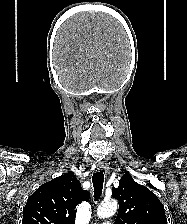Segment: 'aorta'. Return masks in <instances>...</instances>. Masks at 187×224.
<instances>
[{"label": "aorta", "instance_id": "1", "mask_svg": "<svg viewBox=\"0 0 187 224\" xmlns=\"http://www.w3.org/2000/svg\"><path fill=\"white\" fill-rule=\"evenodd\" d=\"M117 201L110 200L102 202L101 205L97 209V216L99 218H108L113 216L117 211Z\"/></svg>", "mask_w": 187, "mask_h": 224}]
</instances>
